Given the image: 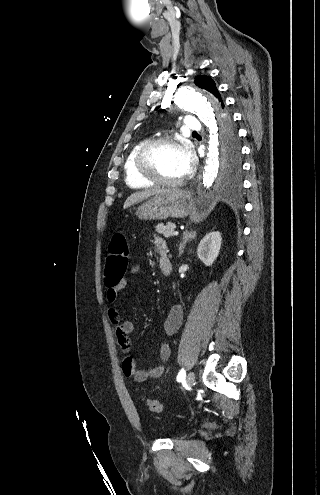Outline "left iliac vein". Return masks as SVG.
I'll use <instances>...</instances> for the list:
<instances>
[{
	"instance_id": "4c4485c4",
	"label": "left iliac vein",
	"mask_w": 320,
	"mask_h": 495,
	"mask_svg": "<svg viewBox=\"0 0 320 495\" xmlns=\"http://www.w3.org/2000/svg\"><path fill=\"white\" fill-rule=\"evenodd\" d=\"M195 380V374L194 372H189L188 375L186 376V384L188 386H192Z\"/></svg>"
}]
</instances>
